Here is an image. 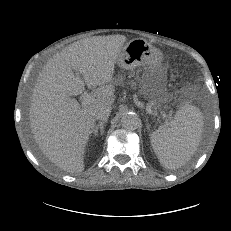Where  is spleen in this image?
Segmentation results:
<instances>
[{
  "mask_svg": "<svg viewBox=\"0 0 231 231\" xmlns=\"http://www.w3.org/2000/svg\"><path fill=\"white\" fill-rule=\"evenodd\" d=\"M203 132V115L189 102L181 105L168 125L160 126L150 136L151 146L161 165L176 169L190 160Z\"/></svg>",
  "mask_w": 231,
  "mask_h": 231,
  "instance_id": "obj_1",
  "label": "spleen"
}]
</instances>
